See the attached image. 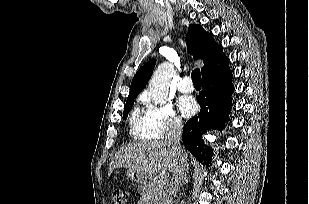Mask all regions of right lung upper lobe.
<instances>
[{
	"mask_svg": "<svg viewBox=\"0 0 309 204\" xmlns=\"http://www.w3.org/2000/svg\"><path fill=\"white\" fill-rule=\"evenodd\" d=\"M186 42L188 51L193 55V58L204 61V66L201 68L202 77L215 73L228 65L229 59L224 55L221 44L218 45L214 41L213 35L206 32L201 25L191 24L189 26ZM155 63L156 60L152 59L138 70L132 80L127 100L136 98L145 87Z\"/></svg>",
	"mask_w": 309,
	"mask_h": 204,
	"instance_id": "cb5924a9",
	"label": "right lung upper lobe"
}]
</instances>
